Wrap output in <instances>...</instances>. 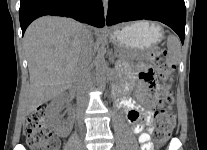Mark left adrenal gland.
I'll list each match as a JSON object with an SVG mask.
<instances>
[{"label":"left adrenal gland","mask_w":207,"mask_h":150,"mask_svg":"<svg viewBox=\"0 0 207 150\" xmlns=\"http://www.w3.org/2000/svg\"><path fill=\"white\" fill-rule=\"evenodd\" d=\"M111 62L112 63H114L115 62V60H114V57L112 56V58H111Z\"/></svg>","instance_id":"a2214340"}]
</instances>
